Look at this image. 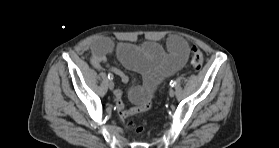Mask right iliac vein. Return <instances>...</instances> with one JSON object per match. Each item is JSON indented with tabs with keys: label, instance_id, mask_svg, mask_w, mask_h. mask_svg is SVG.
Segmentation results:
<instances>
[{
	"label": "right iliac vein",
	"instance_id": "obj_1",
	"mask_svg": "<svg viewBox=\"0 0 279 148\" xmlns=\"http://www.w3.org/2000/svg\"><path fill=\"white\" fill-rule=\"evenodd\" d=\"M114 82L112 81V80H109L108 81V87H109V89H111V90H113L114 89Z\"/></svg>",
	"mask_w": 279,
	"mask_h": 148
}]
</instances>
